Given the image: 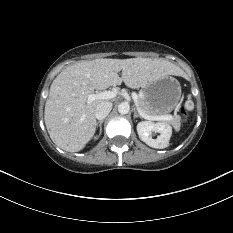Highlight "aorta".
<instances>
[{
	"instance_id": "aorta-1",
	"label": "aorta",
	"mask_w": 233,
	"mask_h": 233,
	"mask_svg": "<svg viewBox=\"0 0 233 233\" xmlns=\"http://www.w3.org/2000/svg\"><path fill=\"white\" fill-rule=\"evenodd\" d=\"M130 110V106L127 102H122L118 105V112L120 114H127Z\"/></svg>"
}]
</instances>
